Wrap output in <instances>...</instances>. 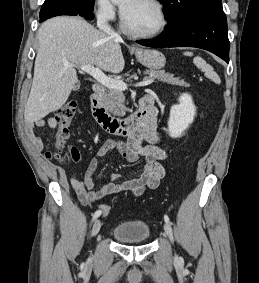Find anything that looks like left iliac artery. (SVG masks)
<instances>
[{"label": "left iliac artery", "mask_w": 259, "mask_h": 283, "mask_svg": "<svg viewBox=\"0 0 259 283\" xmlns=\"http://www.w3.org/2000/svg\"><path fill=\"white\" fill-rule=\"evenodd\" d=\"M164 220L165 222L170 223L169 217L167 215L164 216Z\"/></svg>", "instance_id": "44dca946"}]
</instances>
